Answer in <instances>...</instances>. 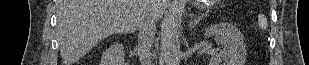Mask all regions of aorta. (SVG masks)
I'll list each match as a JSON object with an SVG mask.
<instances>
[{
  "label": "aorta",
  "instance_id": "obj_1",
  "mask_svg": "<svg viewBox=\"0 0 309 65\" xmlns=\"http://www.w3.org/2000/svg\"><path fill=\"white\" fill-rule=\"evenodd\" d=\"M183 7L180 3L175 4L166 27L164 41V60L166 65H179L181 60L180 35Z\"/></svg>",
  "mask_w": 309,
  "mask_h": 65
}]
</instances>
